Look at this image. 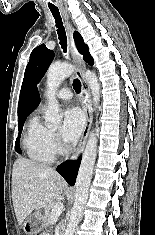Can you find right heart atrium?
<instances>
[{"mask_svg":"<svg viewBox=\"0 0 155 235\" xmlns=\"http://www.w3.org/2000/svg\"><path fill=\"white\" fill-rule=\"evenodd\" d=\"M49 141L54 151L59 150L61 148L59 137L55 132L50 131Z\"/></svg>","mask_w":155,"mask_h":235,"instance_id":"obj_1","label":"right heart atrium"}]
</instances>
